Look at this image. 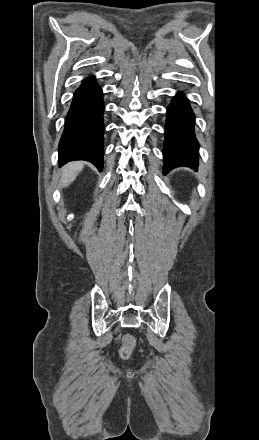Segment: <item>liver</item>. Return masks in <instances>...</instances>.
Masks as SVG:
<instances>
[{
    "label": "liver",
    "mask_w": 259,
    "mask_h": 440,
    "mask_svg": "<svg viewBox=\"0 0 259 440\" xmlns=\"http://www.w3.org/2000/svg\"><path fill=\"white\" fill-rule=\"evenodd\" d=\"M83 167L84 163L81 161H74L65 165L62 169L59 187H68L76 179L78 174L82 171Z\"/></svg>",
    "instance_id": "liver-1"
}]
</instances>
